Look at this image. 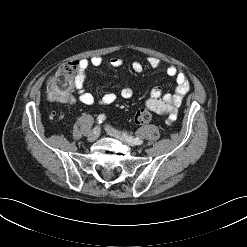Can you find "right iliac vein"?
Returning a JSON list of instances; mask_svg holds the SVG:
<instances>
[{
  "instance_id": "right-iliac-vein-1",
  "label": "right iliac vein",
  "mask_w": 247,
  "mask_h": 247,
  "mask_svg": "<svg viewBox=\"0 0 247 247\" xmlns=\"http://www.w3.org/2000/svg\"><path fill=\"white\" fill-rule=\"evenodd\" d=\"M100 135V128L96 126L89 134L87 139L91 142L95 141Z\"/></svg>"
}]
</instances>
